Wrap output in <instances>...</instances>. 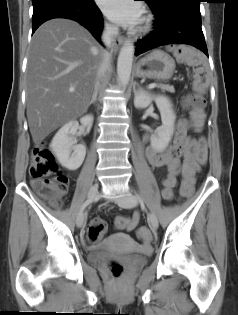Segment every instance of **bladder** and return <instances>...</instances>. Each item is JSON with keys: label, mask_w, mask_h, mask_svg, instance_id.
<instances>
[{"label": "bladder", "mask_w": 238, "mask_h": 315, "mask_svg": "<svg viewBox=\"0 0 238 315\" xmlns=\"http://www.w3.org/2000/svg\"><path fill=\"white\" fill-rule=\"evenodd\" d=\"M97 249H130V248H91L88 252V261L92 264L99 263L103 256H97ZM150 251L140 254V256H127L126 261L133 266H141L145 264L146 257L149 255Z\"/></svg>", "instance_id": "31cf9c89"}]
</instances>
